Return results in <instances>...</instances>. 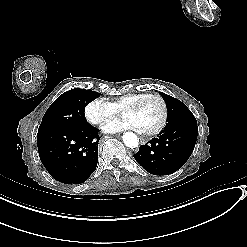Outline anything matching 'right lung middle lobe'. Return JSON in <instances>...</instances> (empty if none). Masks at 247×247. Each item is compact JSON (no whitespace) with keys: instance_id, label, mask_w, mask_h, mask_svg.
<instances>
[{"instance_id":"1","label":"right lung middle lobe","mask_w":247,"mask_h":247,"mask_svg":"<svg viewBox=\"0 0 247 247\" xmlns=\"http://www.w3.org/2000/svg\"><path fill=\"white\" fill-rule=\"evenodd\" d=\"M99 95L100 93L98 92L79 88L63 93L46 111L38 133L51 129L87 126L88 123L84 118V109L90 101Z\"/></svg>"}]
</instances>
